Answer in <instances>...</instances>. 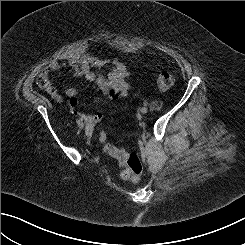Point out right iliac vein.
<instances>
[{
  "label": "right iliac vein",
  "instance_id": "1",
  "mask_svg": "<svg viewBox=\"0 0 245 245\" xmlns=\"http://www.w3.org/2000/svg\"><path fill=\"white\" fill-rule=\"evenodd\" d=\"M79 128L83 129V128H84V124L81 123V124L79 125Z\"/></svg>",
  "mask_w": 245,
  "mask_h": 245
}]
</instances>
